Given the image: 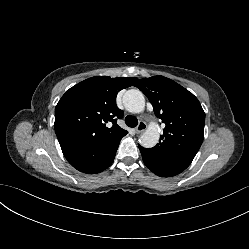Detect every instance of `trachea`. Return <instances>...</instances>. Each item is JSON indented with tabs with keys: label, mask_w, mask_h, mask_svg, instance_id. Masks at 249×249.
<instances>
[{
	"label": "trachea",
	"mask_w": 249,
	"mask_h": 249,
	"mask_svg": "<svg viewBox=\"0 0 249 249\" xmlns=\"http://www.w3.org/2000/svg\"><path fill=\"white\" fill-rule=\"evenodd\" d=\"M125 123L127 126L134 128L138 125V119L135 116L128 115L125 118Z\"/></svg>",
	"instance_id": "1"
}]
</instances>
